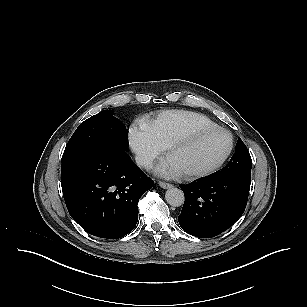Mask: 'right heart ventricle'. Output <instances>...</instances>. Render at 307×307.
Returning <instances> with one entry per match:
<instances>
[{
  "label": "right heart ventricle",
  "instance_id": "e07e8e85",
  "mask_svg": "<svg viewBox=\"0 0 307 307\" xmlns=\"http://www.w3.org/2000/svg\"><path fill=\"white\" fill-rule=\"evenodd\" d=\"M144 124L163 148L191 131L217 126L209 117L186 110L162 111Z\"/></svg>",
  "mask_w": 307,
  "mask_h": 307
}]
</instances>
